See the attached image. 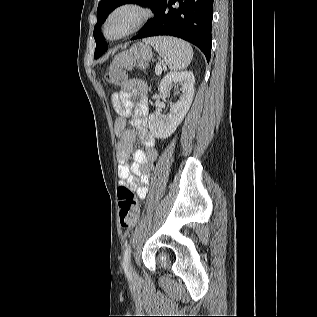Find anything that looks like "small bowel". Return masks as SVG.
I'll return each mask as SVG.
<instances>
[{
	"instance_id": "obj_1",
	"label": "small bowel",
	"mask_w": 317,
	"mask_h": 317,
	"mask_svg": "<svg viewBox=\"0 0 317 317\" xmlns=\"http://www.w3.org/2000/svg\"><path fill=\"white\" fill-rule=\"evenodd\" d=\"M146 92V84L139 79H128L120 91L111 96V102L118 118L114 122V130L118 138L117 161L118 177L121 185L135 191L139 199H145L149 193L152 163L158 156L155 137L147 126L148 105L144 97L135 105L138 96ZM131 118V128L127 127V119ZM139 137L146 151L136 149L134 142ZM132 156V163L128 164Z\"/></svg>"
}]
</instances>
